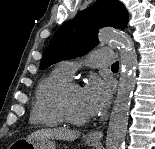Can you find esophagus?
Listing matches in <instances>:
<instances>
[{
	"label": "esophagus",
	"mask_w": 155,
	"mask_h": 149,
	"mask_svg": "<svg viewBox=\"0 0 155 149\" xmlns=\"http://www.w3.org/2000/svg\"><path fill=\"white\" fill-rule=\"evenodd\" d=\"M103 137V131H92L87 135V140L91 142H100Z\"/></svg>",
	"instance_id": "34e87169"
}]
</instances>
